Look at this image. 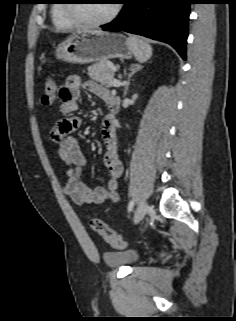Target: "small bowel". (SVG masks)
<instances>
[{
    "mask_svg": "<svg viewBox=\"0 0 236 321\" xmlns=\"http://www.w3.org/2000/svg\"><path fill=\"white\" fill-rule=\"evenodd\" d=\"M85 89L108 104L110 91L99 83L90 80L83 82L77 75H70L59 90L61 118L51 129L50 138L58 147L59 157L68 166L67 181L64 192L78 205H96L106 201H117L119 179L123 166L119 159L117 144V126L115 118L107 114L101 123V135L105 143L103 163L109 172L107 187L91 189L81 181V174L86 164L79 143L73 137L78 130L81 120L72 116L78 108L81 90Z\"/></svg>",
    "mask_w": 236,
    "mask_h": 321,
    "instance_id": "1",
    "label": "small bowel"
}]
</instances>
